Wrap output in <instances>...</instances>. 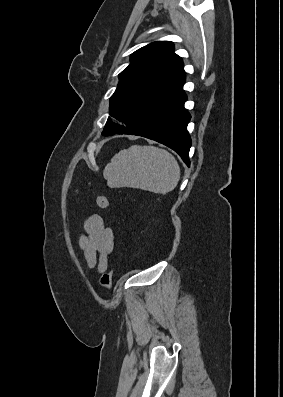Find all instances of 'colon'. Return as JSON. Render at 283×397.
Listing matches in <instances>:
<instances>
[{
  "instance_id": "5ec220e1",
  "label": "colon",
  "mask_w": 283,
  "mask_h": 397,
  "mask_svg": "<svg viewBox=\"0 0 283 397\" xmlns=\"http://www.w3.org/2000/svg\"><path fill=\"white\" fill-rule=\"evenodd\" d=\"M97 205L101 208V209H107L109 206V201L108 198L106 196H98L97 197ZM113 277H114V272L113 270H110L106 273L103 274V276L100 279V285L105 288L108 289L111 287L112 282H113Z\"/></svg>"
}]
</instances>
